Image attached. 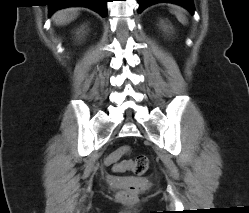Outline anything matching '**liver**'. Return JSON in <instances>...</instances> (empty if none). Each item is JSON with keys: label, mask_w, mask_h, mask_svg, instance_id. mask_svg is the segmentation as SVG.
<instances>
[{"label": "liver", "mask_w": 249, "mask_h": 213, "mask_svg": "<svg viewBox=\"0 0 249 213\" xmlns=\"http://www.w3.org/2000/svg\"><path fill=\"white\" fill-rule=\"evenodd\" d=\"M77 16V8H67L55 12L52 16V19L56 25H65L76 19Z\"/></svg>", "instance_id": "obj_1"}]
</instances>
